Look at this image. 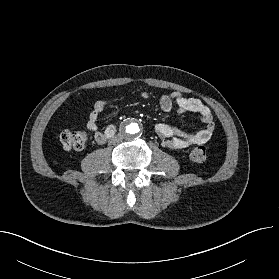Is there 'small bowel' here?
<instances>
[{"label":"small bowel","mask_w":279,"mask_h":279,"mask_svg":"<svg viewBox=\"0 0 279 279\" xmlns=\"http://www.w3.org/2000/svg\"><path fill=\"white\" fill-rule=\"evenodd\" d=\"M142 97L147 98L148 94L143 93ZM111 102L108 99L97 100L87 119V128L93 132L94 138L99 144H103L106 141V131L100 129L99 117ZM159 104L165 113H170L173 110L177 115L197 113L205 124V127L197 132L185 133L170 124L158 123L155 126V132L163 140L164 146L172 150H180L194 145L205 144L212 138L215 129L213 115L201 100L186 97L181 92H172L161 94Z\"/></svg>","instance_id":"small-bowel-1"}]
</instances>
